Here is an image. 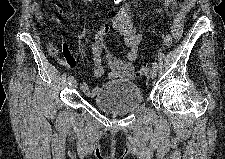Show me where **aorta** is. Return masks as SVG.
Here are the masks:
<instances>
[{"instance_id":"obj_1","label":"aorta","mask_w":225,"mask_h":159,"mask_svg":"<svg viewBox=\"0 0 225 159\" xmlns=\"http://www.w3.org/2000/svg\"><path fill=\"white\" fill-rule=\"evenodd\" d=\"M119 2H120V1H118V0L114 1L115 4H118Z\"/></svg>"}]
</instances>
